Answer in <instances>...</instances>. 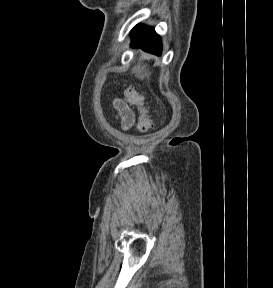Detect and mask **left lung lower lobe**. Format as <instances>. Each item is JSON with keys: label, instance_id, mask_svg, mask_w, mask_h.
I'll list each match as a JSON object with an SVG mask.
<instances>
[{"label": "left lung lower lobe", "instance_id": "0a47b994", "mask_svg": "<svg viewBox=\"0 0 273 288\" xmlns=\"http://www.w3.org/2000/svg\"><path fill=\"white\" fill-rule=\"evenodd\" d=\"M132 47H141L144 51L160 55L161 39L153 27L137 25L132 30Z\"/></svg>", "mask_w": 273, "mask_h": 288}]
</instances>
